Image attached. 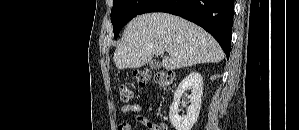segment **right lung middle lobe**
Masks as SVG:
<instances>
[{"instance_id": "right-lung-middle-lobe-1", "label": "right lung middle lobe", "mask_w": 299, "mask_h": 130, "mask_svg": "<svg viewBox=\"0 0 299 130\" xmlns=\"http://www.w3.org/2000/svg\"><path fill=\"white\" fill-rule=\"evenodd\" d=\"M150 0H113L111 22L114 38L117 39L122 27L137 16Z\"/></svg>"}]
</instances>
